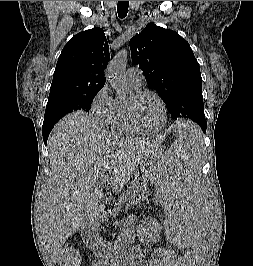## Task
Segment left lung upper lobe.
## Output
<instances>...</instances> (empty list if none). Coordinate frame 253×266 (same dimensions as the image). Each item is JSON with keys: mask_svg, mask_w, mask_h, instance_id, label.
<instances>
[{"mask_svg": "<svg viewBox=\"0 0 253 266\" xmlns=\"http://www.w3.org/2000/svg\"><path fill=\"white\" fill-rule=\"evenodd\" d=\"M129 44L134 64L162 97L171 116L206 127L200 67L189 43L177 32L149 23Z\"/></svg>", "mask_w": 253, "mask_h": 266, "instance_id": "left-lung-upper-lobe-1", "label": "left lung upper lobe"}]
</instances>
